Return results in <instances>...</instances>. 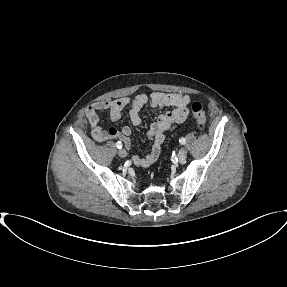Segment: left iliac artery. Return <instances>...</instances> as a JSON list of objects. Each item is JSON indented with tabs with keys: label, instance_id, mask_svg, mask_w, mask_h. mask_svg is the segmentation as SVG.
Returning <instances> with one entry per match:
<instances>
[{
	"label": "left iliac artery",
	"instance_id": "44dca946",
	"mask_svg": "<svg viewBox=\"0 0 287 287\" xmlns=\"http://www.w3.org/2000/svg\"><path fill=\"white\" fill-rule=\"evenodd\" d=\"M179 142H180L181 144H185V143H186V140H185V138H180V139H179Z\"/></svg>",
	"mask_w": 287,
	"mask_h": 287
}]
</instances>
